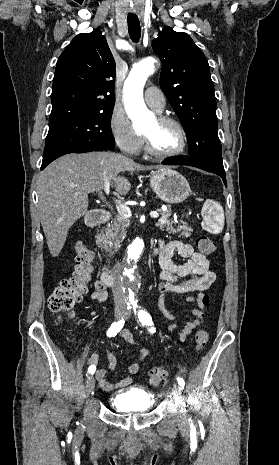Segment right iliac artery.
<instances>
[{
	"label": "right iliac artery",
	"instance_id": "obj_1",
	"mask_svg": "<svg viewBox=\"0 0 279 465\" xmlns=\"http://www.w3.org/2000/svg\"><path fill=\"white\" fill-rule=\"evenodd\" d=\"M131 307L129 306L128 309H130ZM124 319H120L118 320L117 322H114L110 328L108 329L107 331V336L108 337H114L117 335V333L122 329L123 325H124ZM96 368L95 366H90L89 369H88V373L89 374H94Z\"/></svg>",
	"mask_w": 279,
	"mask_h": 465
}]
</instances>
